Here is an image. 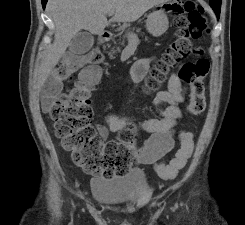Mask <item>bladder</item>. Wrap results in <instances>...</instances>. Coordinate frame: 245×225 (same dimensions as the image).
I'll list each match as a JSON object with an SVG mask.
<instances>
[{"instance_id": "31cf9c89", "label": "bladder", "mask_w": 245, "mask_h": 225, "mask_svg": "<svg viewBox=\"0 0 245 225\" xmlns=\"http://www.w3.org/2000/svg\"><path fill=\"white\" fill-rule=\"evenodd\" d=\"M91 188L96 202L131 206L149 191L150 183L143 170L134 168L123 175L94 177L91 179Z\"/></svg>"}]
</instances>
